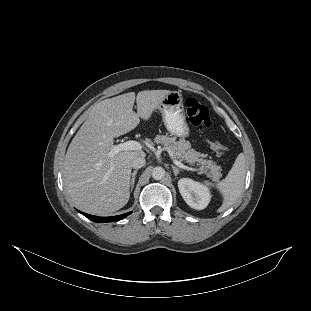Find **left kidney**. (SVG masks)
Instances as JSON below:
<instances>
[{
	"mask_svg": "<svg viewBox=\"0 0 311 311\" xmlns=\"http://www.w3.org/2000/svg\"><path fill=\"white\" fill-rule=\"evenodd\" d=\"M178 188L184 201L191 208L202 210L208 206L211 194L205 185L190 178H181L178 180Z\"/></svg>",
	"mask_w": 311,
	"mask_h": 311,
	"instance_id": "1",
	"label": "left kidney"
}]
</instances>
